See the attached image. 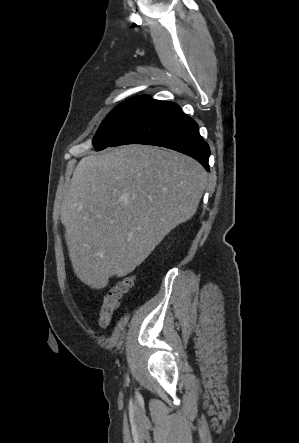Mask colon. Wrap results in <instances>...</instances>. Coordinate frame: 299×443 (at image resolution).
Returning a JSON list of instances; mask_svg holds the SVG:
<instances>
[{"label":"colon","mask_w":299,"mask_h":443,"mask_svg":"<svg viewBox=\"0 0 299 443\" xmlns=\"http://www.w3.org/2000/svg\"><path fill=\"white\" fill-rule=\"evenodd\" d=\"M133 284V276H127L103 296L99 308L100 324L103 327H107L110 324L114 312L118 309L123 297L129 292Z\"/></svg>","instance_id":"colon-1"}]
</instances>
